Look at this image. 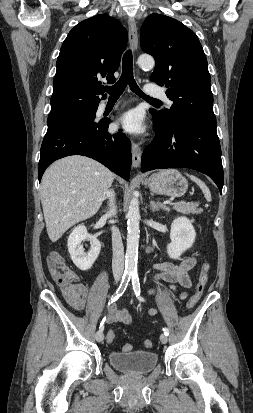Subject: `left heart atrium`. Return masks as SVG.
Listing matches in <instances>:
<instances>
[{
  "label": "left heart atrium",
  "instance_id": "obj_1",
  "mask_svg": "<svg viewBox=\"0 0 253 413\" xmlns=\"http://www.w3.org/2000/svg\"><path fill=\"white\" fill-rule=\"evenodd\" d=\"M114 127L130 134H142L145 131L143 114L139 109L126 111L118 116Z\"/></svg>",
  "mask_w": 253,
  "mask_h": 413
}]
</instances>
